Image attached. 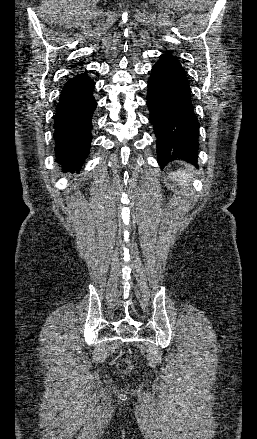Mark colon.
Returning <instances> with one entry per match:
<instances>
[{
    "instance_id": "obj_1",
    "label": "colon",
    "mask_w": 257,
    "mask_h": 439,
    "mask_svg": "<svg viewBox=\"0 0 257 439\" xmlns=\"http://www.w3.org/2000/svg\"><path fill=\"white\" fill-rule=\"evenodd\" d=\"M118 368L122 371V372H128L131 369V364L129 361L127 360H121L118 362Z\"/></svg>"
}]
</instances>
